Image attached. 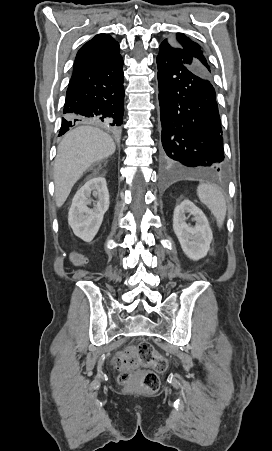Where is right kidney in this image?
I'll return each instance as SVG.
<instances>
[{"label":"right kidney","mask_w":272,"mask_h":451,"mask_svg":"<svg viewBox=\"0 0 272 451\" xmlns=\"http://www.w3.org/2000/svg\"><path fill=\"white\" fill-rule=\"evenodd\" d=\"M92 196L96 200H92ZM91 202L94 208L90 210ZM109 192L105 178H92L76 192L68 212V224L75 235L92 241L101 226L105 212L109 208Z\"/></svg>","instance_id":"obj_1"}]
</instances>
